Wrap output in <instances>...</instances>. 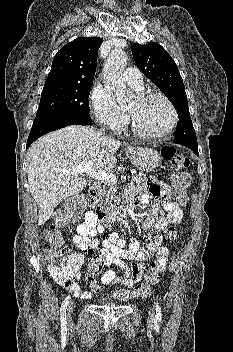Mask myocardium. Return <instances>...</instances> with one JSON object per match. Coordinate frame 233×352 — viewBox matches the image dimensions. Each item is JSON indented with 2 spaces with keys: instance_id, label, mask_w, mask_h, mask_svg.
Wrapping results in <instances>:
<instances>
[{
  "instance_id": "obj_1",
  "label": "myocardium",
  "mask_w": 233,
  "mask_h": 352,
  "mask_svg": "<svg viewBox=\"0 0 233 352\" xmlns=\"http://www.w3.org/2000/svg\"><path fill=\"white\" fill-rule=\"evenodd\" d=\"M153 98L162 99L168 105V107L171 111L172 120H171L169 127L165 131H163L161 133H150V132L144 131L136 124V122L134 121V119L132 118V116L130 114H128V121H129L131 130L139 137H142L145 139H153V140L163 139V138L167 137L169 134H171V132L175 129V127L178 123V113H177V110H176L174 104L172 103V101L166 95H164L160 92L141 93L137 97V99L140 102H146V101L153 99Z\"/></svg>"
}]
</instances>
